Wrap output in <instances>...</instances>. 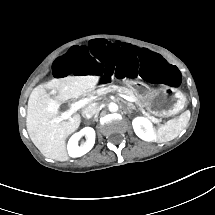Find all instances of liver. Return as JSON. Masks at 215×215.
Wrapping results in <instances>:
<instances>
[{
    "instance_id": "6515ba94",
    "label": "liver",
    "mask_w": 215,
    "mask_h": 215,
    "mask_svg": "<svg viewBox=\"0 0 215 215\" xmlns=\"http://www.w3.org/2000/svg\"><path fill=\"white\" fill-rule=\"evenodd\" d=\"M98 80V76L91 75L67 76L33 89L28 100L26 126L30 139L44 156L62 162L69 160L65 140L78 129L81 117L74 114L60 123L52 120L62 102L92 92ZM46 89L57 91L56 98H50Z\"/></svg>"
}]
</instances>
